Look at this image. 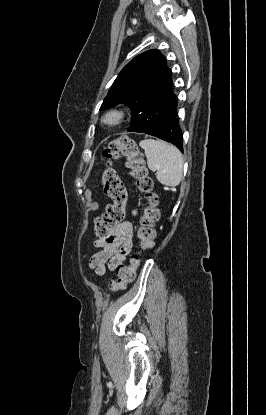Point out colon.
Instances as JSON below:
<instances>
[{
	"instance_id": "obj_1",
	"label": "colon",
	"mask_w": 266,
	"mask_h": 415,
	"mask_svg": "<svg viewBox=\"0 0 266 415\" xmlns=\"http://www.w3.org/2000/svg\"><path fill=\"white\" fill-rule=\"evenodd\" d=\"M104 158L110 163L122 156L126 158V167L129 175L134 179L136 187L143 194L146 206L139 219L137 238L141 250L153 247L156 238V224L160 219L157 196L153 191V182L147 174L144 156L137 142L129 137H120L110 141L103 150ZM104 193L112 203L106 207L105 213L98 217L94 225V234L98 238H107L114 228L126 219L127 188L116 172L110 166L102 174ZM140 265V253L132 256L129 265H122L117 270V279L111 281L109 287L116 291L135 279L137 268Z\"/></svg>"
}]
</instances>
